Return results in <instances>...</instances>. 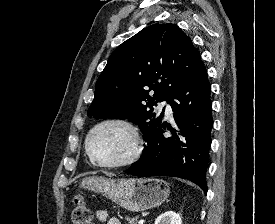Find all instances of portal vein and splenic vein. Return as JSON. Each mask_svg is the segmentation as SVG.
<instances>
[{
	"instance_id": "18ae733b",
	"label": "portal vein and splenic vein",
	"mask_w": 275,
	"mask_h": 224,
	"mask_svg": "<svg viewBox=\"0 0 275 224\" xmlns=\"http://www.w3.org/2000/svg\"><path fill=\"white\" fill-rule=\"evenodd\" d=\"M145 222V220L144 219H141L139 222H138V224H143Z\"/></svg>"
}]
</instances>
